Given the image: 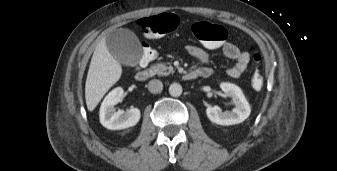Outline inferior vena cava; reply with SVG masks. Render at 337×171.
<instances>
[{"label": "inferior vena cava", "mask_w": 337, "mask_h": 171, "mask_svg": "<svg viewBox=\"0 0 337 171\" xmlns=\"http://www.w3.org/2000/svg\"><path fill=\"white\" fill-rule=\"evenodd\" d=\"M162 89H163V84L160 80L153 79L148 84V90L153 94L160 93Z\"/></svg>", "instance_id": "1"}]
</instances>
